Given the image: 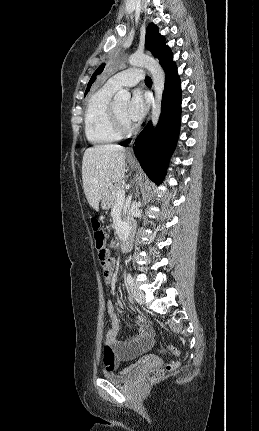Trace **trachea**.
Wrapping results in <instances>:
<instances>
[{
    "label": "trachea",
    "instance_id": "1",
    "mask_svg": "<svg viewBox=\"0 0 259 431\" xmlns=\"http://www.w3.org/2000/svg\"><path fill=\"white\" fill-rule=\"evenodd\" d=\"M145 84H147V85L152 84V79L149 76H146V78H145Z\"/></svg>",
    "mask_w": 259,
    "mask_h": 431
}]
</instances>
